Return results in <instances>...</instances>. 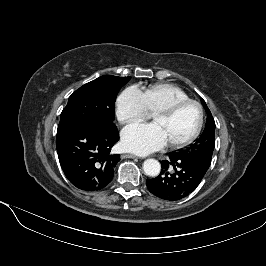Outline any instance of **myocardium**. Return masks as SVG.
<instances>
[{"label": "myocardium", "mask_w": 266, "mask_h": 266, "mask_svg": "<svg viewBox=\"0 0 266 266\" xmlns=\"http://www.w3.org/2000/svg\"><path fill=\"white\" fill-rule=\"evenodd\" d=\"M190 104L196 106V108L198 110L197 125H196L195 129L193 130V132L188 137H186L185 139L168 143V145L172 148H181V147L187 146L190 143H192L198 137V135L200 134L201 129L203 127V123H204V110H203L202 105L196 100L186 99L183 101L175 102V103H173V104H171V105H169L163 109H160V110L156 111L155 113H153V115H152L153 120L156 117L171 116L176 111H178L180 108H182L186 105H190Z\"/></svg>", "instance_id": "1"}]
</instances>
